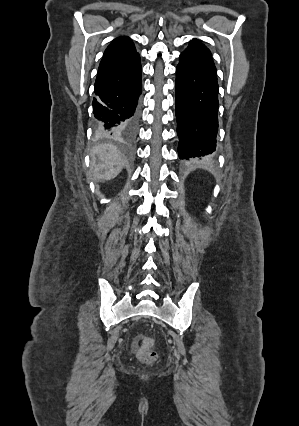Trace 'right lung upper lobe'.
<instances>
[{
    "label": "right lung upper lobe",
    "instance_id": "1",
    "mask_svg": "<svg viewBox=\"0 0 299 426\" xmlns=\"http://www.w3.org/2000/svg\"><path fill=\"white\" fill-rule=\"evenodd\" d=\"M138 54L135 50L133 42L128 37H118L114 39L106 48L100 65L106 62L129 58Z\"/></svg>",
    "mask_w": 299,
    "mask_h": 426
}]
</instances>
